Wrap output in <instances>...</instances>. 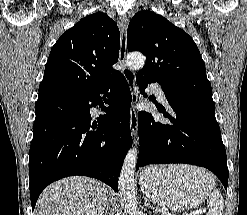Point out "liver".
Returning <instances> with one entry per match:
<instances>
[{"label": "liver", "mask_w": 247, "mask_h": 215, "mask_svg": "<svg viewBox=\"0 0 247 215\" xmlns=\"http://www.w3.org/2000/svg\"><path fill=\"white\" fill-rule=\"evenodd\" d=\"M106 204L102 182L74 176L50 185L39 197L35 215H103Z\"/></svg>", "instance_id": "obj_1"}]
</instances>
